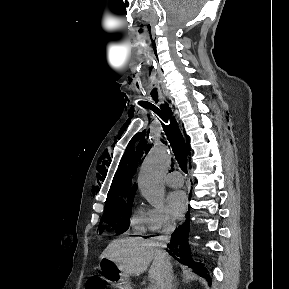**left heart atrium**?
Here are the masks:
<instances>
[{
  "label": "left heart atrium",
  "instance_id": "obj_1",
  "mask_svg": "<svg viewBox=\"0 0 289 289\" xmlns=\"http://www.w3.org/2000/svg\"><path fill=\"white\" fill-rule=\"evenodd\" d=\"M168 209L174 218H180L187 210L188 200L181 190L171 192L167 197Z\"/></svg>",
  "mask_w": 289,
  "mask_h": 289
}]
</instances>
